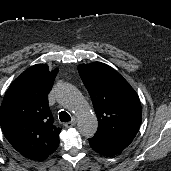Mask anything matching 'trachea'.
<instances>
[{"label":"trachea","mask_w":171,"mask_h":171,"mask_svg":"<svg viewBox=\"0 0 171 171\" xmlns=\"http://www.w3.org/2000/svg\"><path fill=\"white\" fill-rule=\"evenodd\" d=\"M59 119H60L61 122H69V121H71L70 115L65 111H61L59 113Z\"/></svg>","instance_id":"trachea-1"}]
</instances>
